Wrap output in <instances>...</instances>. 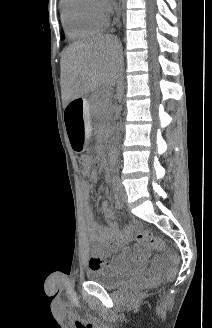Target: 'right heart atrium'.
Wrapping results in <instances>:
<instances>
[{
  "instance_id": "1",
  "label": "right heart atrium",
  "mask_w": 212,
  "mask_h": 328,
  "mask_svg": "<svg viewBox=\"0 0 212 328\" xmlns=\"http://www.w3.org/2000/svg\"><path fill=\"white\" fill-rule=\"evenodd\" d=\"M93 5L96 12L104 18H107L109 12L112 9L111 4H109L105 0H93Z\"/></svg>"
}]
</instances>
